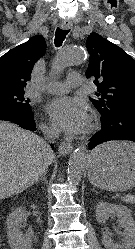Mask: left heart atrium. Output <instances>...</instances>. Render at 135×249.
Segmentation results:
<instances>
[{"instance_id": "39dd6f15", "label": "left heart atrium", "mask_w": 135, "mask_h": 249, "mask_svg": "<svg viewBox=\"0 0 135 249\" xmlns=\"http://www.w3.org/2000/svg\"><path fill=\"white\" fill-rule=\"evenodd\" d=\"M54 124L69 134L82 132L89 121L88 107L80 98L59 97L47 105Z\"/></svg>"}]
</instances>
